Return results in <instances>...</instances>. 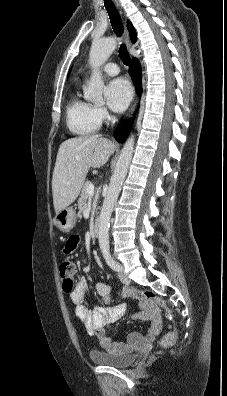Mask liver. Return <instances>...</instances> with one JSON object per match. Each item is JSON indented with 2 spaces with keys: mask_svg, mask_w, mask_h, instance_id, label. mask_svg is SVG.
Wrapping results in <instances>:
<instances>
[{
  "mask_svg": "<svg viewBox=\"0 0 227 396\" xmlns=\"http://www.w3.org/2000/svg\"><path fill=\"white\" fill-rule=\"evenodd\" d=\"M115 149L113 142L100 135L70 138L61 143L52 178L56 214L78 197L90 167L106 164Z\"/></svg>",
  "mask_w": 227,
  "mask_h": 396,
  "instance_id": "obj_1",
  "label": "liver"
}]
</instances>
